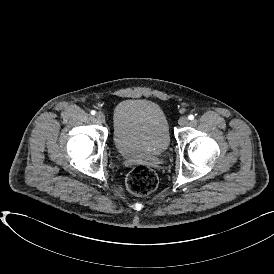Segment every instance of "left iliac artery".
Returning <instances> with one entry per match:
<instances>
[{"label":"left iliac artery","instance_id":"obj_1","mask_svg":"<svg viewBox=\"0 0 274 274\" xmlns=\"http://www.w3.org/2000/svg\"><path fill=\"white\" fill-rule=\"evenodd\" d=\"M188 119H189V120H193V119H194V115H189V116H188Z\"/></svg>","mask_w":274,"mask_h":274}]
</instances>
